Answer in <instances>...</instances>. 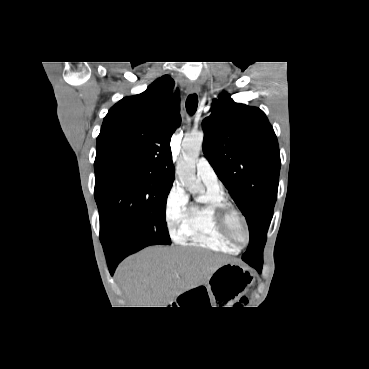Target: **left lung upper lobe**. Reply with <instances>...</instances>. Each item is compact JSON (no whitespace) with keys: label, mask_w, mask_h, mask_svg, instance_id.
I'll return each mask as SVG.
<instances>
[{"label":"left lung upper lobe","mask_w":369,"mask_h":369,"mask_svg":"<svg viewBox=\"0 0 369 369\" xmlns=\"http://www.w3.org/2000/svg\"><path fill=\"white\" fill-rule=\"evenodd\" d=\"M202 125L203 152L248 223L242 260L263 263L281 166L274 130L262 110L236 103L226 92L213 100Z\"/></svg>","instance_id":"left-lung-upper-lobe-1"}]
</instances>
